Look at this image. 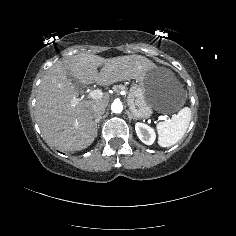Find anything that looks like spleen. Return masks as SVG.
<instances>
[{
    "mask_svg": "<svg viewBox=\"0 0 236 236\" xmlns=\"http://www.w3.org/2000/svg\"><path fill=\"white\" fill-rule=\"evenodd\" d=\"M191 120V109L184 107L171 119L157 124L158 144L169 147L176 144L185 134Z\"/></svg>",
    "mask_w": 236,
    "mask_h": 236,
    "instance_id": "obj_1",
    "label": "spleen"
}]
</instances>
